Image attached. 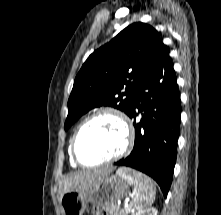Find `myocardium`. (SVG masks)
Masks as SVG:
<instances>
[{"label": "myocardium", "instance_id": "myocardium-1", "mask_svg": "<svg viewBox=\"0 0 221 215\" xmlns=\"http://www.w3.org/2000/svg\"><path fill=\"white\" fill-rule=\"evenodd\" d=\"M103 115H109L114 117L115 119L118 120V122L121 124L123 131H124V144L122 146V148L115 153L114 155H112L111 157L96 162V163H86L83 162L77 152V141L78 138L82 132V130L94 119L103 116ZM134 139H135V133H134V129L132 124L130 123L129 119L127 118V116L119 109L114 108V107H103L101 109H98L97 111H95L94 113H92L91 115H89L87 118H85L83 120V122L78 126L77 130L75 131L72 140H71V144H70V152H71V156L73 161L82 166V167H96V166H100V165H104V164H108L111 162H114L122 157H124L126 154H128L130 152V150L133 147L134 144Z\"/></svg>", "mask_w": 221, "mask_h": 215}]
</instances>
